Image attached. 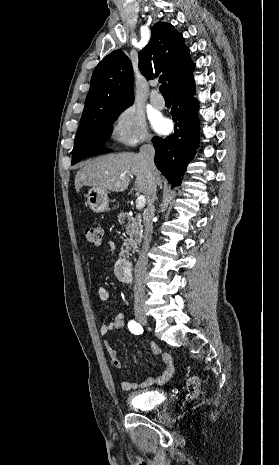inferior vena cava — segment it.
I'll list each match as a JSON object with an SVG mask.
<instances>
[{
  "mask_svg": "<svg viewBox=\"0 0 279 465\" xmlns=\"http://www.w3.org/2000/svg\"><path fill=\"white\" fill-rule=\"evenodd\" d=\"M140 157L143 159V164L147 170L148 181H149V193L147 196L148 207L144 212V240L142 250L140 252L138 261L135 266V285H134V300L136 303L144 301V277L147 270V251L150 246L153 232L152 219L154 216V200L157 191V169L154 163L155 150L151 144H143L140 147Z\"/></svg>",
  "mask_w": 279,
  "mask_h": 465,
  "instance_id": "1",
  "label": "inferior vena cava"
}]
</instances>
